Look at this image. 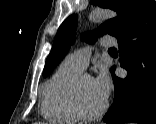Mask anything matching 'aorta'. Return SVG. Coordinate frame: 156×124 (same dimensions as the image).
<instances>
[{
  "label": "aorta",
  "instance_id": "762f6f07",
  "mask_svg": "<svg viewBox=\"0 0 156 124\" xmlns=\"http://www.w3.org/2000/svg\"><path fill=\"white\" fill-rule=\"evenodd\" d=\"M116 12L109 9H95L89 15V20L94 23L103 22L105 20L116 17Z\"/></svg>",
  "mask_w": 156,
  "mask_h": 124
}]
</instances>
